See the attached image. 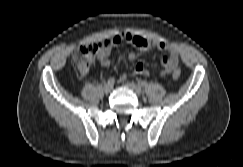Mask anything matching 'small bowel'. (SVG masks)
Instances as JSON below:
<instances>
[{"label":"small bowel","mask_w":243,"mask_h":167,"mask_svg":"<svg viewBox=\"0 0 243 167\" xmlns=\"http://www.w3.org/2000/svg\"><path fill=\"white\" fill-rule=\"evenodd\" d=\"M128 42L136 47L137 52L130 51L127 54V58L130 61H135L140 58L141 55L146 53L151 49H159L161 51H166L167 55L161 59L160 64L162 66L161 75L170 74L178 65V55L175 49L168 43L163 41L153 40L144 36L135 35L130 32H121L116 34L110 39L104 40L101 43V47L97 53V59L101 66L107 68L110 66V53L114 46L122 43ZM134 74L148 75L149 71L145 68L143 63L138 62L134 66ZM128 78L127 74L120 76L119 81L124 83Z\"/></svg>","instance_id":"c3829d8e"}]
</instances>
